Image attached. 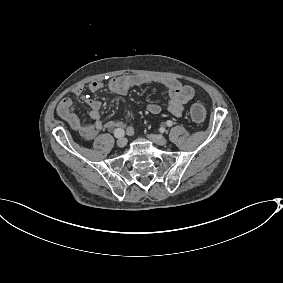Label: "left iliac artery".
<instances>
[{
    "label": "left iliac artery",
    "instance_id": "left-iliac-artery-1",
    "mask_svg": "<svg viewBox=\"0 0 283 283\" xmlns=\"http://www.w3.org/2000/svg\"><path fill=\"white\" fill-rule=\"evenodd\" d=\"M166 125H167L168 127H171V126L173 125V122H172L171 120H168V121L166 122Z\"/></svg>",
    "mask_w": 283,
    "mask_h": 283
}]
</instances>
